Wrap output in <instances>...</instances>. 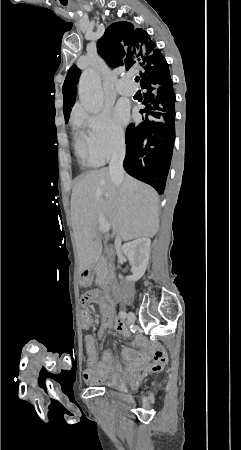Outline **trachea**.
I'll return each mask as SVG.
<instances>
[{
    "instance_id": "trachea-1",
    "label": "trachea",
    "mask_w": 241,
    "mask_h": 450,
    "mask_svg": "<svg viewBox=\"0 0 241 450\" xmlns=\"http://www.w3.org/2000/svg\"><path fill=\"white\" fill-rule=\"evenodd\" d=\"M139 79H140V77H138V76L135 77V81H136V82H139Z\"/></svg>"
}]
</instances>
